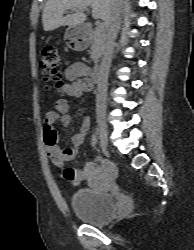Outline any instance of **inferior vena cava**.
<instances>
[{
	"label": "inferior vena cava",
	"instance_id": "inferior-vena-cava-1",
	"mask_svg": "<svg viewBox=\"0 0 194 250\" xmlns=\"http://www.w3.org/2000/svg\"><path fill=\"white\" fill-rule=\"evenodd\" d=\"M120 0H113L111 11L106 23L107 35L105 38L103 59L100 65L96 95L97 120L103 121L106 113V97L108 74L111 66L114 43L120 27Z\"/></svg>",
	"mask_w": 194,
	"mask_h": 250
}]
</instances>
